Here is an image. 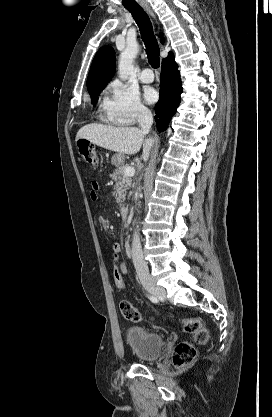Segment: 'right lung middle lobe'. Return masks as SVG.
Returning <instances> with one entry per match:
<instances>
[{"label": "right lung middle lobe", "instance_id": "dd1d6c3e", "mask_svg": "<svg viewBox=\"0 0 272 417\" xmlns=\"http://www.w3.org/2000/svg\"><path fill=\"white\" fill-rule=\"evenodd\" d=\"M102 90H103V88H102V89L95 90V91H91V92H89V94H90V96H91V102H92L93 104H95V103L97 102V100H98V94H99Z\"/></svg>", "mask_w": 272, "mask_h": 417}]
</instances>
